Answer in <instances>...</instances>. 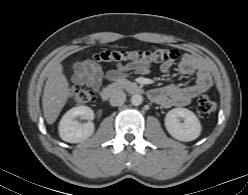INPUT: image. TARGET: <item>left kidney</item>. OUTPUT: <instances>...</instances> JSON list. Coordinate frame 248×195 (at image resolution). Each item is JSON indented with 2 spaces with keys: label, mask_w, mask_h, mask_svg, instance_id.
Masks as SVG:
<instances>
[{
  "label": "left kidney",
  "mask_w": 248,
  "mask_h": 195,
  "mask_svg": "<svg viewBox=\"0 0 248 195\" xmlns=\"http://www.w3.org/2000/svg\"><path fill=\"white\" fill-rule=\"evenodd\" d=\"M165 127L175 139L183 142L195 140L201 133L197 116L186 108H174L165 117Z\"/></svg>",
  "instance_id": "5707ae66"
}]
</instances>
